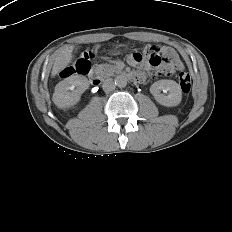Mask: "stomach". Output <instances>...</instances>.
<instances>
[{"mask_svg": "<svg viewBox=\"0 0 232 232\" xmlns=\"http://www.w3.org/2000/svg\"><path fill=\"white\" fill-rule=\"evenodd\" d=\"M113 54H120V52L119 51H117V50H115V51H113Z\"/></svg>", "mask_w": 232, "mask_h": 232, "instance_id": "0dacf381", "label": "stomach"}]
</instances>
